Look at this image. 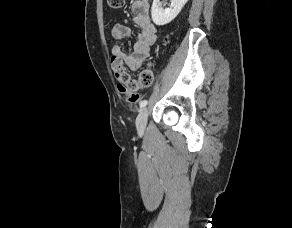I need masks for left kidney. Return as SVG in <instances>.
I'll use <instances>...</instances> for the list:
<instances>
[{"instance_id":"left-kidney-1","label":"left kidney","mask_w":292,"mask_h":228,"mask_svg":"<svg viewBox=\"0 0 292 228\" xmlns=\"http://www.w3.org/2000/svg\"><path fill=\"white\" fill-rule=\"evenodd\" d=\"M168 8L161 6L160 0H153L151 7L152 20L156 25H165L171 22L181 11L188 0H170Z\"/></svg>"}]
</instances>
